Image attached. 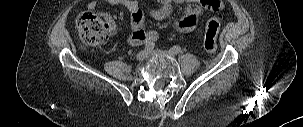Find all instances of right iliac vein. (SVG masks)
<instances>
[{
    "instance_id": "1",
    "label": "right iliac vein",
    "mask_w": 303,
    "mask_h": 127,
    "mask_svg": "<svg viewBox=\"0 0 303 127\" xmlns=\"http://www.w3.org/2000/svg\"><path fill=\"white\" fill-rule=\"evenodd\" d=\"M146 58H147V52L145 50H142V51L138 52L137 55H136V59L138 61H143Z\"/></svg>"
}]
</instances>
